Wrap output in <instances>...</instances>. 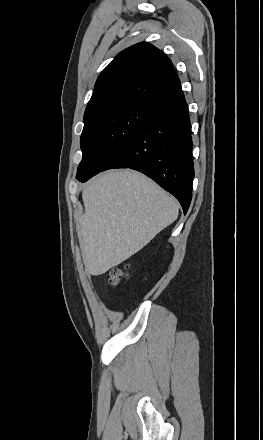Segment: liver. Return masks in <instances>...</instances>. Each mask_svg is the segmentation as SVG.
Returning <instances> with one entry per match:
<instances>
[{"instance_id": "obj_1", "label": "liver", "mask_w": 263, "mask_h": 440, "mask_svg": "<svg viewBox=\"0 0 263 440\" xmlns=\"http://www.w3.org/2000/svg\"><path fill=\"white\" fill-rule=\"evenodd\" d=\"M78 234L85 270L102 275L146 246L178 217L175 199L139 172L108 171L82 193Z\"/></svg>"}]
</instances>
